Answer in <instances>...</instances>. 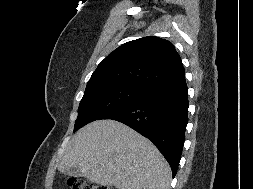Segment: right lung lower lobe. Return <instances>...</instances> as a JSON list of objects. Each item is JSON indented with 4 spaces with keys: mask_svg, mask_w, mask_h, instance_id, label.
Returning a JSON list of instances; mask_svg holds the SVG:
<instances>
[{
    "mask_svg": "<svg viewBox=\"0 0 253 189\" xmlns=\"http://www.w3.org/2000/svg\"><path fill=\"white\" fill-rule=\"evenodd\" d=\"M185 79L157 86L137 102L104 117L119 121L146 136L177 173L188 123Z\"/></svg>",
    "mask_w": 253,
    "mask_h": 189,
    "instance_id": "98d812e1",
    "label": "right lung lower lobe"
}]
</instances>
